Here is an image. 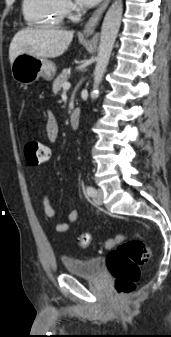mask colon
<instances>
[{"instance_id":"colon-1","label":"colon","mask_w":171,"mask_h":337,"mask_svg":"<svg viewBox=\"0 0 171 337\" xmlns=\"http://www.w3.org/2000/svg\"><path fill=\"white\" fill-rule=\"evenodd\" d=\"M26 161L30 165H38L49 157L47 146L37 140L28 139L24 144ZM91 242V235L83 233L76 239V244L87 248ZM104 248L110 250L107 256V268L114 278L115 289L119 295H129L135 288L140 278V265L150 256V250L139 239L124 241L122 236L108 239Z\"/></svg>"}]
</instances>
